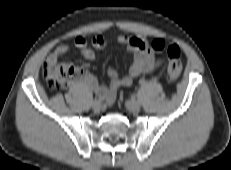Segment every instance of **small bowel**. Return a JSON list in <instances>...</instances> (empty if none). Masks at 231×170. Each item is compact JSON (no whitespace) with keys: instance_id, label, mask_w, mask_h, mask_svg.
I'll return each instance as SVG.
<instances>
[{"instance_id":"c3829d8e","label":"small bowel","mask_w":231,"mask_h":170,"mask_svg":"<svg viewBox=\"0 0 231 170\" xmlns=\"http://www.w3.org/2000/svg\"><path fill=\"white\" fill-rule=\"evenodd\" d=\"M116 42L122 45L128 53L132 54L133 61L128 72L120 76L115 69H108L107 75L110 78L108 86L101 85L95 76L87 72L85 77L81 79L90 90L103 95L108 104L114 102L116 91L119 87L130 86L136 77L150 73L164 63V59L155 56L148 41L142 36L129 37L120 35L116 38ZM91 43L94 48L101 49L107 45V40L101 34H96L92 37ZM74 47L84 59L89 61L95 60L96 53L88 47L87 40L83 36L76 37ZM70 49L71 47L67 44L59 45L48 55L46 63H57L60 57L68 53Z\"/></svg>"}]
</instances>
